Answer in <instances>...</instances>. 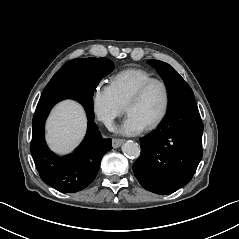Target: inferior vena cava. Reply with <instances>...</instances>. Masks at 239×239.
Returning <instances> with one entry per match:
<instances>
[{"label":"inferior vena cava","mask_w":239,"mask_h":239,"mask_svg":"<svg viewBox=\"0 0 239 239\" xmlns=\"http://www.w3.org/2000/svg\"><path fill=\"white\" fill-rule=\"evenodd\" d=\"M105 126L108 129V131H110V132L115 131L116 125L114 124V122L112 120H106Z\"/></svg>","instance_id":"602c4592"}]
</instances>
